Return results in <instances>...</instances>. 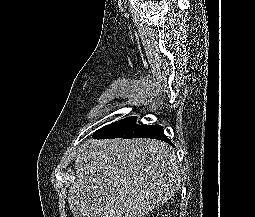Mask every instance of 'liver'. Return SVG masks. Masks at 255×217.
Returning <instances> with one entry per match:
<instances>
[{
    "label": "liver",
    "instance_id": "obj_1",
    "mask_svg": "<svg viewBox=\"0 0 255 217\" xmlns=\"http://www.w3.org/2000/svg\"><path fill=\"white\" fill-rule=\"evenodd\" d=\"M75 170L73 217H142L182 181L173 148L151 139L90 140L78 148Z\"/></svg>",
    "mask_w": 255,
    "mask_h": 217
}]
</instances>
